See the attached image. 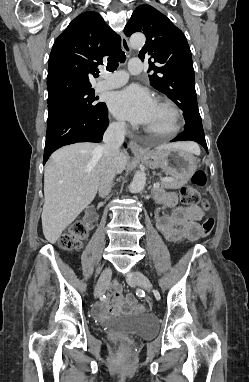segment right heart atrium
Masks as SVG:
<instances>
[{
  "instance_id": "1",
  "label": "right heart atrium",
  "mask_w": 249,
  "mask_h": 382,
  "mask_svg": "<svg viewBox=\"0 0 249 382\" xmlns=\"http://www.w3.org/2000/svg\"><path fill=\"white\" fill-rule=\"evenodd\" d=\"M112 128L117 132H124L126 129V125L121 121H116L112 124Z\"/></svg>"
}]
</instances>
